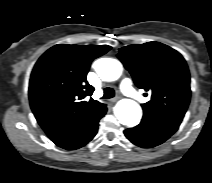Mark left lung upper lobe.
I'll return each instance as SVG.
<instances>
[{
  "mask_svg": "<svg viewBox=\"0 0 212 183\" xmlns=\"http://www.w3.org/2000/svg\"><path fill=\"white\" fill-rule=\"evenodd\" d=\"M117 57L134 83L150 92L144 115L180 125L190 101V75L180 53L159 42L129 45ZM147 96V94H145Z\"/></svg>",
  "mask_w": 212,
  "mask_h": 183,
  "instance_id": "left-lung-upper-lobe-1",
  "label": "left lung upper lobe"
}]
</instances>
